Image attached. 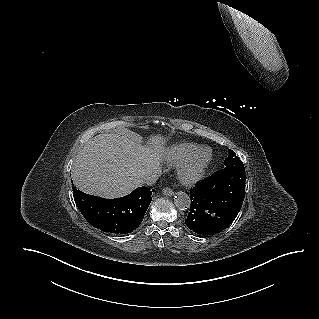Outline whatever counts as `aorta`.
Returning <instances> with one entry per match:
<instances>
[{
    "label": "aorta",
    "mask_w": 319,
    "mask_h": 319,
    "mask_svg": "<svg viewBox=\"0 0 319 319\" xmlns=\"http://www.w3.org/2000/svg\"><path fill=\"white\" fill-rule=\"evenodd\" d=\"M175 205L179 210H186L190 207V197L187 193L179 191L175 195Z\"/></svg>",
    "instance_id": "obj_1"
}]
</instances>
